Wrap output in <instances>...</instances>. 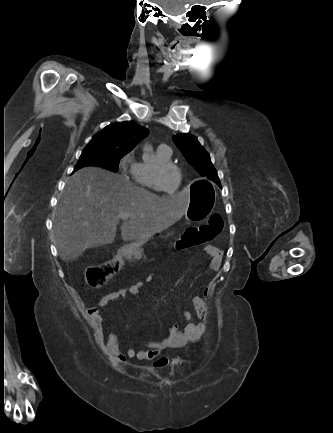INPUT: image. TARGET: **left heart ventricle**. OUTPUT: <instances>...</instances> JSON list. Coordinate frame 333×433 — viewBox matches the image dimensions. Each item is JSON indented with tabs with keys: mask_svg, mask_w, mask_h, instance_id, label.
<instances>
[{
	"mask_svg": "<svg viewBox=\"0 0 333 433\" xmlns=\"http://www.w3.org/2000/svg\"><path fill=\"white\" fill-rule=\"evenodd\" d=\"M177 183H178V174L175 170L168 169L163 173L162 185L167 191L173 192L177 187Z\"/></svg>",
	"mask_w": 333,
	"mask_h": 433,
	"instance_id": "b2bd125f",
	"label": "left heart ventricle"
}]
</instances>
